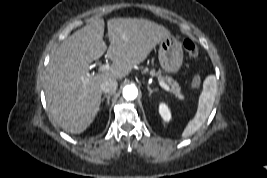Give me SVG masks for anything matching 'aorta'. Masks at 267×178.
<instances>
[{"label":"aorta","mask_w":267,"mask_h":178,"mask_svg":"<svg viewBox=\"0 0 267 178\" xmlns=\"http://www.w3.org/2000/svg\"><path fill=\"white\" fill-rule=\"evenodd\" d=\"M138 95V90L134 85H127L123 88V97L126 100H134Z\"/></svg>","instance_id":"aorta-1"}]
</instances>
